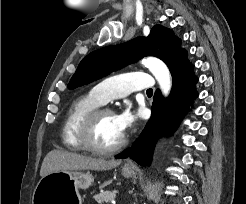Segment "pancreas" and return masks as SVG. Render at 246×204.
<instances>
[{
	"label": "pancreas",
	"instance_id": "obj_1",
	"mask_svg": "<svg viewBox=\"0 0 246 204\" xmlns=\"http://www.w3.org/2000/svg\"><path fill=\"white\" fill-rule=\"evenodd\" d=\"M115 197H116L115 191H105V192H101V193L95 195L94 199L99 204H104V203H109L110 200L115 199Z\"/></svg>",
	"mask_w": 246,
	"mask_h": 204
}]
</instances>
